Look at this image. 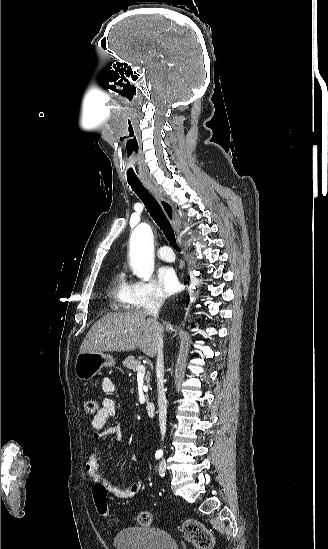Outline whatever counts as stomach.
I'll return each mask as SVG.
<instances>
[{
  "instance_id": "1",
  "label": "stomach",
  "mask_w": 328,
  "mask_h": 549,
  "mask_svg": "<svg viewBox=\"0 0 328 549\" xmlns=\"http://www.w3.org/2000/svg\"><path fill=\"white\" fill-rule=\"evenodd\" d=\"M115 359L104 353H79L75 361V375L81 381H89L103 367H114Z\"/></svg>"
}]
</instances>
